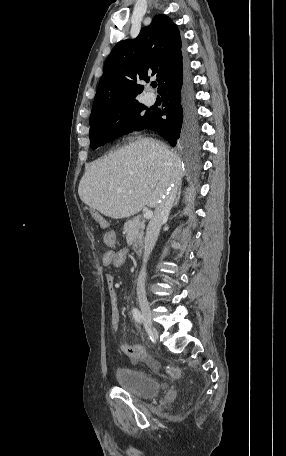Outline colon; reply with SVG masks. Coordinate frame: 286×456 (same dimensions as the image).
I'll list each match as a JSON object with an SVG mask.
<instances>
[{
  "label": "colon",
  "instance_id": "5ec220e1",
  "mask_svg": "<svg viewBox=\"0 0 286 456\" xmlns=\"http://www.w3.org/2000/svg\"><path fill=\"white\" fill-rule=\"evenodd\" d=\"M137 356L140 360L144 361L146 364H148L151 368L156 369L157 368V363L154 359L149 357L144 351H139L137 353ZM166 372L171 375L172 377H179L180 375V370L178 367L172 366V365H166L165 367Z\"/></svg>",
  "mask_w": 286,
  "mask_h": 456
}]
</instances>
